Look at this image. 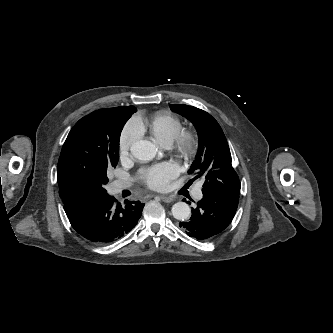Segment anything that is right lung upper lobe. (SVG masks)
<instances>
[{
    "mask_svg": "<svg viewBox=\"0 0 333 333\" xmlns=\"http://www.w3.org/2000/svg\"><path fill=\"white\" fill-rule=\"evenodd\" d=\"M58 185H59V195L62 198L64 204L74 203L77 201H81V199L76 193L68 189L65 184L61 181V179L57 176Z\"/></svg>",
    "mask_w": 333,
    "mask_h": 333,
    "instance_id": "1",
    "label": "right lung upper lobe"
}]
</instances>
